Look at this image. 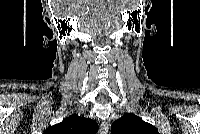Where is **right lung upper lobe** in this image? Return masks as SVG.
<instances>
[{"label":"right lung upper lobe","instance_id":"right-lung-upper-lobe-1","mask_svg":"<svg viewBox=\"0 0 200 134\" xmlns=\"http://www.w3.org/2000/svg\"><path fill=\"white\" fill-rule=\"evenodd\" d=\"M98 130L95 121L79 117L76 114L70 115L62 122L46 129V134H94Z\"/></svg>","mask_w":200,"mask_h":134}]
</instances>
